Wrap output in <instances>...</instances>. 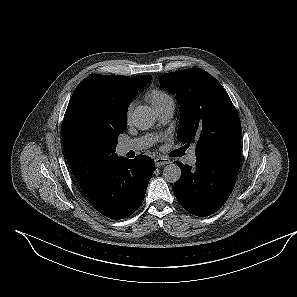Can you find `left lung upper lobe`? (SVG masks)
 <instances>
[{
	"label": "left lung upper lobe",
	"mask_w": 297,
	"mask_h": 297,
	"mask_svg": "<svg viewBox=\"0 0 297 297\" xmlns=\"http://www.w3.org/2000/svg\"><path fill=\"white\" fill-rule=\"evenodd\" d=\"M161 86L176 95L180 105L178 140L196 145L202 156L241 140V123L227 92L208 72L190 68L166 73Z\"/></svg>",
	"instance_id": "1"
}]
</instances>
